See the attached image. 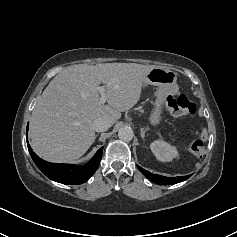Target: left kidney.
I'll list each match as a JSON object with an SVG mask.
<instances>
[{"mask_svg":"<svg viewBox=\"0 0 237 237\" xmlns=\"http://www.w3.org/2000/svg\"><path fill=\"white\" fill-rule=\"evenodd\" d=\"M150 148L155 157L162 162H170L174 158L178 157L176 147L163 140H156L152 142Z\"/></svg>","mask_w":237,"mask_h":237,"instance_id":"1","label":"left kidney"}]
</instances>
